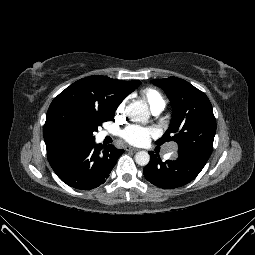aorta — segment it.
<instances>
[{
	"label": "aorta",
	"instance_id": "762f6f07",
	"mask_svg": "<svg viewBox=\"0 0 255 255\" xmlns=\"http://www.w3.org/2000/svg\"><path fill=\"white\" fill-rule=\"evenodd\" d=\"M126 114L133 122L146 123L149 119V111L146 104L136 101L126 107ZM150 161V155L146 151H139L135 155V162L140 166H146Z\"/></svg>",
	"mask_w": 255,
	"mask_h": 255
}]
</instances>
